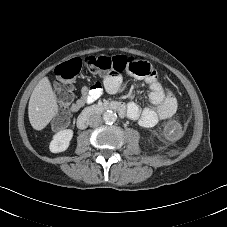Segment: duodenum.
Returning a JSON list of instances; mask_svg holds the SVG:
<instances>
[{"label": "duodenum", "instance_id": "410a0bca", "mask_svg": "<svg viewBox=\"0 0 227 227\" xmlns=\"http://www.w3.org/2000/svg\"><path fill=\"white\" fill-rule=\"evenodd\" d=\"M107 111H115L117 112L121 117H125L127 112L126 108L123 104L118 102H108L100 105H96L93 107H90L86 109L77 119V127L79 129H84L88 126L91 117L95 113H102Z\"/></svg>", "mask_w": 227, "mask_h": 227}]
</instances>
